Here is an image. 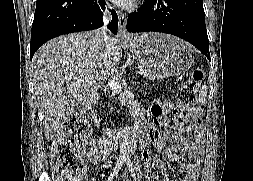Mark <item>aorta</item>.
<instances>
[{
	"mask_svg": "<svg viewBox=\"0 0 253 181\" xmlns=\"http://www.w3.org/2000/svg\"><path fill=\"white\" fill-rule=\"evenodd\" d=\"M121 142L123 143L124 141L122 140ZM121 150L122 152H120V157H128L126 145H121Z\"/></svg>",
	"mask_w": 253,
	"mask_h": 181,
	"instance_id": "1",
	"label": "aorta"
}]
</instances>
